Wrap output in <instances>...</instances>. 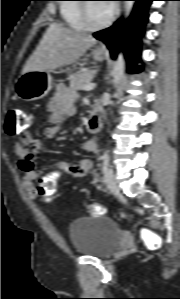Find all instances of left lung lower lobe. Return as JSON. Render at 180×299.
Wrapping results in <instances>:
<instances>
[{
    "label": "left lung lower lobe",
    "instance_id": "1",
    "mask_svg": "<svg viewBox=\"0 0 180 299\" xmlns=\"http://www.w3.org/2000/svg\"><path fill=\"white\" fill-rule=\"evenodd\" d=\"M132 1H136V4L126 23L119 20L113 26L94 33L93 36L107 45L112 58H116L119 50L123 48L128 61L129 71L137 73L141 71V68L136 66V63L140 62L141 36L148 18V7L153 0Z\"/></svg>",
    "mask_w": 180,
    "mask_h": 299
}]
</instances>
